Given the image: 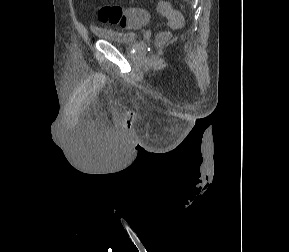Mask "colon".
<instances>
[{"label": "colon", "instance_id": "5ec220e1", "mask_svg": "<svg viewBox=\"0 0 289 252\" xmlns=\"http://www.w3.org/2000/svg\"><path fill=\"white\" fill-rule=\"evenodd\" d=\"M158 12L169 19L173 28H178L183 23L182 16L169 2L160 1L157 5ZM98 19L103 23L118 25L123 28H134L149 20V13L143 8L126 9L119 5H104L98 10ZM167 38L165 33L157 36V41L162 42Z\"/></svg>", "mask_w": 289, "mask_h": 252}]
</instances>
